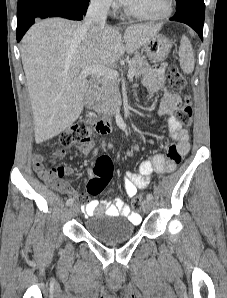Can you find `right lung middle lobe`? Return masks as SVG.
Listing matches in <instances>:
<instances>
[{
	"instance_id": "right-lung-middle-lobe-1",
	"label": "right lung middle lobe",
	"mask_w": 227,
	"mask_h": 298,
	"mask_svg": "<svg viewBox=\"0 0 227 298\" xmlns=\"http://www.w3.org/2000/svg\"><path fill=\"white\" fill-rule=\"evenodd\" d=\"M34 0H18V5H17V9L27 5L28 3L32 2ZM81 1H86L88 2L89 0H81Z\"/></svg>"
}]
</instances>
